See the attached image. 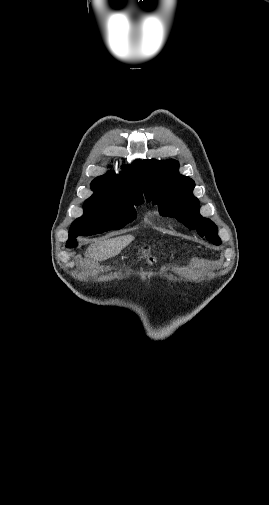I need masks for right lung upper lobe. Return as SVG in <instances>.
<instances>
[{"mask_svg": "<svg viewBox=\"0 0 269 505\" xmlns=\"http://www.w3.org/2000/svg\"><path fill=\"white\" fill-rule=\"evenodd\" d=\"M141 160H136L120 174L108 172L95 178L91 184L94 194L88 199L143 200Z\"/></svg>", "mask_w": 269, "mask_h": 505, "instance_id": "cb5924a9", "label": "right lung upper lobe"}]
</instances>
